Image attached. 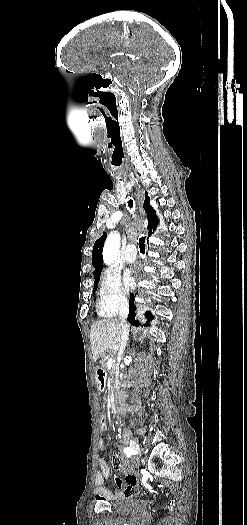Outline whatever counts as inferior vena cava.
<instances>
[{"label":"inferior vena cava","mask_w":247,"mask_h":525,"mask_svg":"<svg viewBox=\"0 0 247 525\" xmlns=\"http://www.w3.org/2000/svg\"><path fill=\"white\" fill-rule=\"evenodd\" d=\"M128 315H129V303H127V301H120L119 303V323L121 325L122 333H121V339L118 343L117 365H120V361H122L124 351L127 347V341L129 339L130 329L127 323ZM118 383H119V375H117L116 377V387H118Z\"/></svg>","instance_id":"602c4592"}]
</instances>
